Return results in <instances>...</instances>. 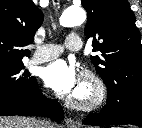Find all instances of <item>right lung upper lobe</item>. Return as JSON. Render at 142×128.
Listing matches in <instances>:
<instances>
[{
    "instance_id": "obj_1",
    "label": "right lung upper lobe",
    "mask_w": 142,
    "mask_h": 128,
    "mask_svg": "<svg viewBox=\"0 0 142 128\" xmlns=\"http://www.w3.org/2000/svg\"><path fill=\"white\" fill-rule=\"evenodd\" d=\"M42 21L32 0H0V65L23 64L22 58L30 55L23 48L32 43Z\"/></svg>"
}]
</instances>
